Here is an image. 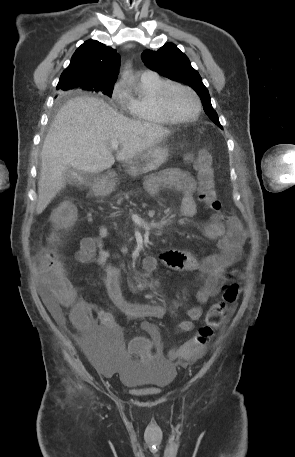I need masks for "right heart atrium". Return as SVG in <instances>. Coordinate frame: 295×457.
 <instances>
[{"mask_svg":"<svg viewBox=\"0 0 295 457\" xmlns=\"http://www.w3.org/2000/svg\"><path fill=\"white\" fill-rule=\"evenodd\" d=\"M112 99L120 106V107H127L128 104V94L124 88L122 82H118L115 84L112 90Z\"/></svg>","mask_w":295,"mask_h":457,"instance_id":"1","label":"right heart atrium"}]
</instances>
